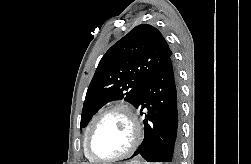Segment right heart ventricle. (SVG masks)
I'll return each instance as SVG.
<instances>
[{"label": "right heart ventricle", "mask_w": 251, "mask_h": 164, "mask_svg": "<svg viewBox=\"0 0 251 164\" xmlns=\"http://www.w3.org/2000/svg\"><path fill=\"white\" fill-rule=\"evenodd\" d=\"M92 122H93V121H91L90 124L88 125V127L86 128V131H85V138H86V135H87V133H88V130H89V128H90ZM85 154H86V153H85ZM86 157H87L88 159H90L87 155H86Z\"/></svg>", "instance_id": "e07e8e85"}]
</instances>
